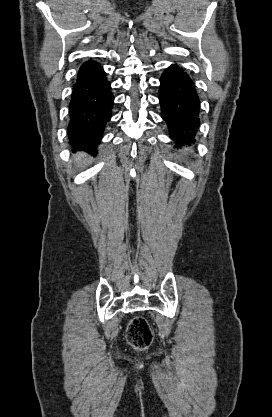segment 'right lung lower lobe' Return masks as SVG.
Returning a JSON list of instances; mask_svg holds the SVG:
<instances>
[{
  "label": "right lung lower lobe",
  "mask_w": 272,
  "mask_h": 417,
  "mask_svg": "<svg viewBox=\"0 0 272 417\" xmlns=\"http://www.w3.org/2000/svg\"><path fill=\"white\" fill-rule=\"evenodd\" d=\"M114 97L106 74L96 61L79 69L74 85L68 124L69 143L77 150L94 152L111 118Z\"/></svg>",
  "instance_id": "98d812e1"
}]
</instances>
